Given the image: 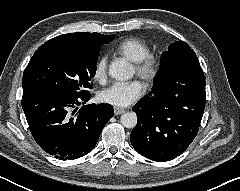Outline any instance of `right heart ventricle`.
I'll use <instances>...</instances> for the list:
<instances>
[{
  "label": "right heart ventricle",
  "mask_w": 240,
  "mask_h": 191,
  "mask_svg": "<svg viewBox=\"0 0 240 191\" xmlns=\"http://www.w3.org/2000/svg\"><path fill=\"white\" fill-rule=\"evenodd\" d=\"M115 51L132 62H139L150 54L149 46L138 38H126L115 46Z\"/></svg>",
  "instance_id": "1"
}]
</instances>
